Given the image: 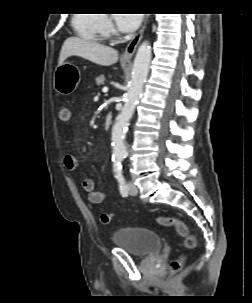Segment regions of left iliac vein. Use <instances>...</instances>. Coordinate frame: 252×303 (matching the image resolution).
Masks as SVG:
<instances>
[{"label":"left iliac vein","mask_w":252,"mask_h":303,"mask_svg":"<svg viewBox=\"0 0 252 303\" xmlns=\"http://www.w3.org/2000/svg\"><path fill=\"white\" fill-rule=\"evenodd\" d=\"M128 192H129L131 195H136L137 192H138L136 186H135L132 182H129V183H128Z\"/></svg>","instance_id":"1"}]
</instances>
